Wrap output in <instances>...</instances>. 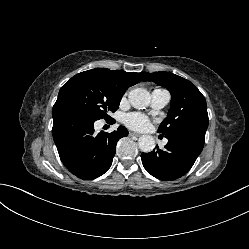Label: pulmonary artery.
I'll list each match as a JSON object with an SVG mask.
<instances>
[{
  "instance_id": "1",
  "label": "pulmonary artery",
  "mask_w": 249,
  "mask_h": 249,
  "mask_svg": "<svg viewBox=\"0 0 249 249\" xmlns=\"http://www.w3.org/2000/svg\"><path fill=\"white\" fill-rule=\"evenodd\" d=\"M170 100V94L165 89H154L152 92V107L154 109L164 108ZM166 142V141H165Z\"/></svg>"
}]
</instances>
